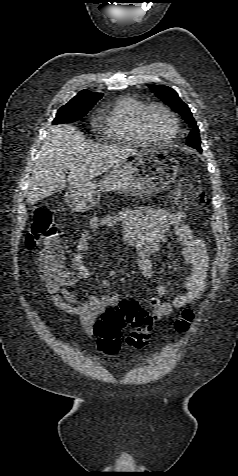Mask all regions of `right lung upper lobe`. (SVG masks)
<instances>
[{
	"label": "right lung upper lobe",
	"mask_w": 238,
	"mask_h": 476,
	"mask_svg": "<svg viewBox=\"0 0 238 476\" xmlns=\"http://www.w3.org/2000/svg\"><path fill=\"white\" fill-rule=\"evenodd\" d=\"M102 97V93L91 92L89 90H82L68 103L77 105H95Z\"/></svg>",
	"instance_id": "obj_1"
}]
</instances>
